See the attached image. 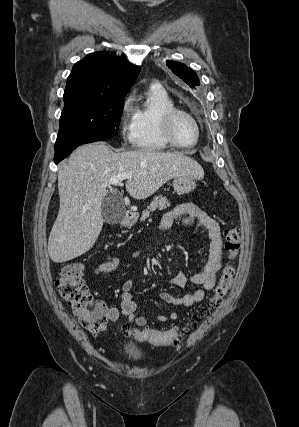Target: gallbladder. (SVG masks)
Returning <instances> with one entry per match:
<instances>
[{
  "label": "gallbladder",
  "mask_w": 299,
  "mask_h": 427,
  "mask_svg": "<svg viewBox=\"0 0 299 427\" xmlns=\"http://www.w3.org/2000/svg\"><path fill=\"white\" fill-rule=\"evenodd\" d=\"M101 213L104 222L118 224L125 217V205L123 196L118 191L107 192L101 204Z\"/></svg>",
  "instance_id": "gallbladder-1"
}]
</instances>
